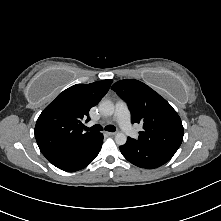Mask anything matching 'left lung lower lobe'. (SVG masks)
Returning <instances> with one entry per match:
<instances>
[{
	"label": "left lung lower lobe",
	"instance_id": "1",
	"mask_svg": "<svg viewBox=\"0 0 221 221\" xmlns=\"http://www.w3.org/2000/svg\"><path fill=\"white\" fill-rule=\"evenodd\" d=\"M119 148L122 155L129 162L146 169L162 166L168 162L176 152L168 148L142 145L130 138H127V142Z\"/></svg>",
	"mask_w": 221,
	"mask_h": 221
}]
</instances>
